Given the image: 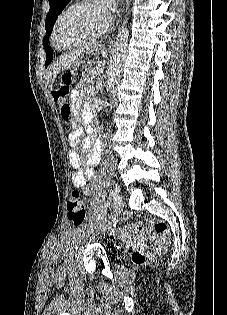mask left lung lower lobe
I'll use <instances>...</instances> for the list:
<instances>
[{"instance_id":"left-lung-lower-lobe-1","label":"left lung lower lobe","mask_w":227,"mask_h":315,"mask_svg":"<svg viewBox=\"0 0 227 315\" xmlns=\"http://www.w3.org/2000/svg\"><path fill=\"white\" fill-rule=\"evenodd\" d=\"M52 61V57L50 56V60L47 62V65Z\"/></svg>"}]
</instances>
